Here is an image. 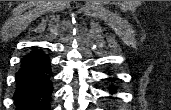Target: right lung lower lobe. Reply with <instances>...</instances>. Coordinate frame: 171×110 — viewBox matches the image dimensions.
<instances>
[{
    "instance_id": "1",
    "label": "right lung lower lobe",
    "mask_w": 171,
    "mask_h": 110,
    "mask_svg": "<svg viewBox=\"0 0 171 110\" xmlns=\"http://www.w3.org/2000/svg\"><path fill=\"white\" fill-rule=\"evenodd\" d=\"M15 77L16 110H50L53 72L50 58L43 50L33 48L24 56Z\"/></svg>"
}]
</instances>
